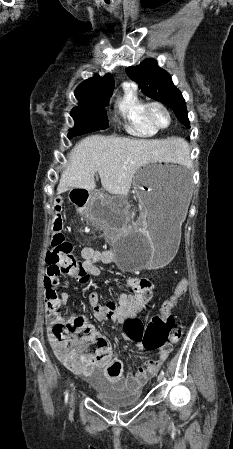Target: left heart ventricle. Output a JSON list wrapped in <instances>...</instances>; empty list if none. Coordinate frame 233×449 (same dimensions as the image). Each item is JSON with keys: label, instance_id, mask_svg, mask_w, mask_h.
<instances>
[{"label": "left heart ventricle", "instance_id": "obj_1", "mask_svg": "<svg viewBox=\"0 0 233 449\" xmlns=\"http://www.w3.org/2000/svg\"><path fill=\"white\" fill-rule=\"evenodd\" d=\"M151 114H152L153 120L158 125H160V126L166 125V123L168 121V118H167L166 113L162 109H160L158 107H155V108L152 109Z\"/></svg>", "mask_w": 233, "mask_h": 449}]
</instances>
